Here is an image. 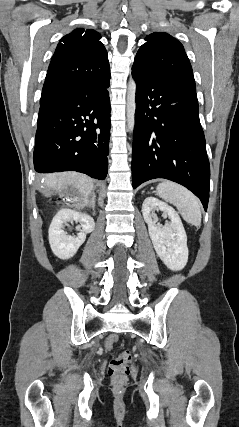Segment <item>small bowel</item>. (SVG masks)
Instances as JSON below:
<instances>
[{
	"mask_svg": "<svg viewBox=\"0 0 239 427\" xmlns=\"http://www.w3.org/2000/svg\"><path fill=\"white\" fill-rule=\"evenodd\" d=\"M115 336H110L108 339H107V342H106V346H107V348H110L111 347V345L113 344V342L115 341Z\"/></svg>",
	"mask_w": 239,
	"mask_h": 427,
	"instance_id": "obj_1",
	"label": "small bowel"
}]
</instances>
